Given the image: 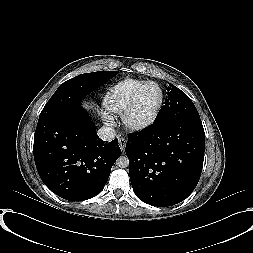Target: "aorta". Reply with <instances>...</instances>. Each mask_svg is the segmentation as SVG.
<instances>
[{"instance_id": "obj_1", "label": "aorta", "mask_w": 253, "mask_h": 253, "mask_svg": "<svg viewBox=\"0 0 253 253\" xmlns=\"http://www.w3.org/2000/svg\"><path fill=\"white\" fill-rule=\"evenodd\" d=\"M116 164L119 168H126L129 166V159L127 156H119Z\"/></svg>"}]
</instances>
